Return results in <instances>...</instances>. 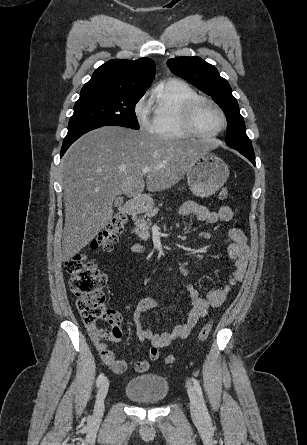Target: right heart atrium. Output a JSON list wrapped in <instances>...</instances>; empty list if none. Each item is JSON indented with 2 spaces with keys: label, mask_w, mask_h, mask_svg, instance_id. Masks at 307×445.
<instances>
[{
  "label": "right heart atrium",
  "mask_w": 307,
  "mask_h": 445,
  "mask_svg": "<svg viewBox=\"0 0 307 445\" xmlns=\"http://www.w3.org/2000/svg\"><path fill=\"white\" fill-rule=\"evenodd\" d=\"M150 96H143L142 99L140 100V112L137 113L136 117H137V121L139 123L140 126L144 127L147 125L148 123V110L146 107L147 101L149 100Z\"/></svg>",
  "instance_id": "1"
}]
</instances>
